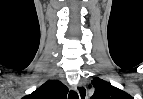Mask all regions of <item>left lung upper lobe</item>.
Wrapping results in <instances>:
<instances>
[{
	"label": "left lung upper lobe",
	"mask_w": 143,
	"mask_h": 99,
	"mask_svg": "<svg viewBox=\"0 0 143 99\" xmlns=\"http://www.w3.org/2000/svg\"><path fill=\"white\" fill-rule=\"evenodd\" d=\"M91 84L94 87V93L91 99H133V97L126 92L100 78H94Z\"/></svg>",
	"instance_id": "5c2ea615"
}]
</instances>
